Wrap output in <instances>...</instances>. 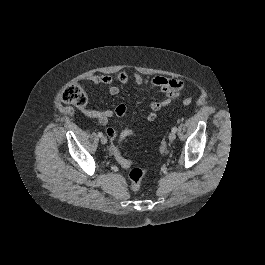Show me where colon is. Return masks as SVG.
I'll use <instances>...</instances> for the list:
<instances>
[{
  "label": "colon",
  "mask_w": 265,
  "mask_h": 265,
  "mask_svg": "<svg viewBox=\"0 0 265 265\" xmlns=\"http://www.w3.org/2000/svg\"><path fill=\"white\" fill-rule=\"evenodd\" d=\"M60 98L63 102L74 105L78 109L89 112L88 100L85 91L78 84H69L65 86L61 93ZM183 104L188 106L191 104V99L186 98L183 100ZM109 137L112 140H117L118 142L122 141L126 137L133 134V130L125 129L122 132H118L113 128H109L107 131ZM112 154L114 155L116 161L124 168H129L131 162L126 159L120 152L117 145H112L111 147ZM146 171L142 168L135 167L129 171V179L131 183V189L133 191H138L141 187L142 180L145 176Z\"/></svg>",
  "instance_id": "5ec220e1"
}]
</instances>
